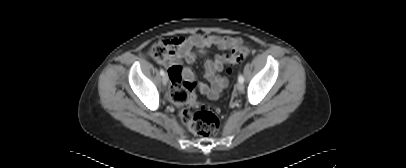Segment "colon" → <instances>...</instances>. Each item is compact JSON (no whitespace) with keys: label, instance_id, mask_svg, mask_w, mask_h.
<instances>
[{"label":"colon","instance_id":"colon-1","mask_svg":"<svg viewBox=\"0 0 406 168\" xmlns=\"http://www.w3.org/2000/svg\"><path fill=\"white\" fill-rule=\"evenodd\" d=\"M151 56L159 62L164 61L171 53V45L167 41H160L151 47ZM249 55V49L241 46L227 55L226 62L229 68L238 65ZM181 68L172 66L169 68L171 77L170 98L179 107L181 121L194 134L210 138L215 136L220 129V121L214 110L202 103H199L193 93L192 82L182 83L179 74Z\"/></svg>","mask_w":406,"mask_h":168}]
</instances>
